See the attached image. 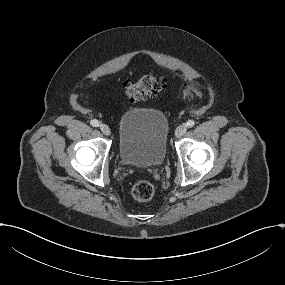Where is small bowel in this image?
I'll list each match as a JSON object with an SVG mask.
<instances>
[{"label":"small bowel","instance_id":"1","mask_svg":"<svg viewBox=\"0 0 285 285\" xmlns=\"http://www.w3.org/2000/svg\"><path fill=\"white\" fill-rule=\"evenodd\" d=\"M81 97L88 101L90 98V95L88 93H86V94H82Z\"/></svg>","mask_w":285,"mask_h":285}]
</instances>
